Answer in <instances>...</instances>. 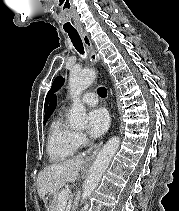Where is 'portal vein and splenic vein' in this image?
I'll return each mask as SVG.
<instances>
[{"label": "portal vein and splenic vein", "mask_w": 179, "mask_h": 211, "mask_svg": "<svg viewBox=\"0 0 179 211\" xmlns=\"http://www.w3.org/2000/svg\"><path fill=\"white\" fill-rule=\"evenodd\" d=\"M70 193H71V191L69 189L62 190L60 192L59 201L60 202H66L67 199L69 198Z\"/></svg>", "instance_id": "18ae733b"}]
</instances>
